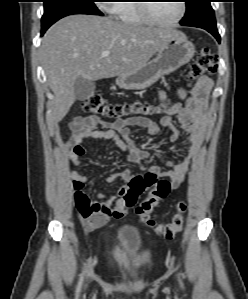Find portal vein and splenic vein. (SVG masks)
Segmentation results:
<instances>
[{
  "mask_svg": "<svg viewBox=\"0 0 248 299\" xmlns=\"http://www.w3.org/2000/svg\"><path fill=\"white\" fill-rule=\"evenodd\" d=\"M109 54H110L109 51H104V52H102L101 57H108Z\"/></svg>",
  "mask_w": 248,
  "mask_h": 299,
  "instance_id": "portal-vein-and-splenic-vein-1",
  "label": "portal vein and splenic vein"
}]
</instances>
